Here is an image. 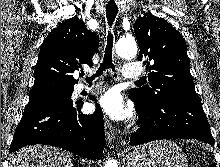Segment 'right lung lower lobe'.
Here are the masks:
<instances>
[{
  "label": "right lung lower lobe",
  "mask_w": 220,
  "mask_h": 167,
  "mask_svg": "<svg viewBox=\"0 0 220 167\" xmlns=\"http://www.w3.org/2000/svg\"><path fill=\"white\" fill-rule=\"evenodd\" d=\"M81 106L73 103L71 96L56 94L30 100L15 130L10 153L41 143L87 159H101L105 141L101 108L97 105L95 113L84 115Z\"/></svg>",
  "instance_id": "right-lung-lower-lobe-1"
}]
</instances>
